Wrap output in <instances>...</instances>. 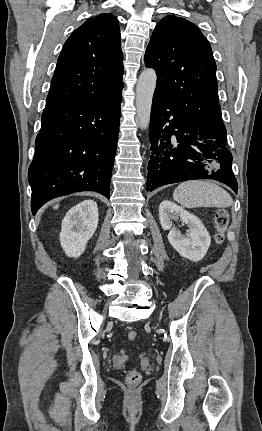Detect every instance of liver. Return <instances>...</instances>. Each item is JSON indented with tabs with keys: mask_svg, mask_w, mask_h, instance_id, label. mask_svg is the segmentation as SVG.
<instances>
[{
	"mask_svg": "<svg viewBox=\"0 0 262 431\" xmlns=\"http://www.w3.org/2000/svg\"><path fill=\"white\" fill-rule=\"evenodd\" d=\"M57 208H58V205H55V206H54V209H57Z\"/></svg>",
	"mask_w": 262,
	"mask_h": 431,
	"instance_id": "liver-1",
	"label": "liver"
}]
</instances>
